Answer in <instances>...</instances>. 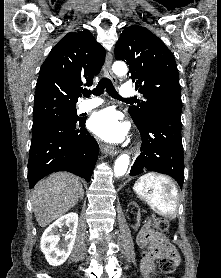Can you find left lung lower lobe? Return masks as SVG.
Listing matches in <instances>:
<instances>
[{"instance_id":"1","label":"left lung lower lobe","mask_w":221,"mask_h":278,"mask_svg":"<svg viewBox=\"0 0 221 278\" xmlns=\"http://www.w3.org/2000/svg\"><path fill=\"white\" fill-rule=\"evenodd\" d=\"M137 126L142 138V153L131 167L130 175L155 171L173 177L182 188L184 159L181 118L158 114Z\"/></svg>"}]
</instances>
